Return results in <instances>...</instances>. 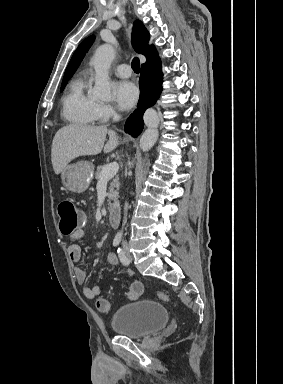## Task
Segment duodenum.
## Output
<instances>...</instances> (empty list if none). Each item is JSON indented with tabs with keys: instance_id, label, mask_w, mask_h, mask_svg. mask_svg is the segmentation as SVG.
<instances>
[{
	"instance_id": "410a0bca",
	"label": "duodenum",
	"mask_w": 283,
	"mask_h": 384,
	"mask_svg": "<svg viewBox=\"0 0 283 384\" xmlns=\"http://www.w3.org/2000/svg\"><path fill=\"white\" fill-rule=\"evenodd\" d=\"M120 221V213L118 210H114L109 212L108 214V222L113 226L117 227Z\"/></svg>"
}]
</instances>
